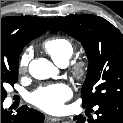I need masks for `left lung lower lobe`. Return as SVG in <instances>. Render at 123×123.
I'll list each match as a JSON object with an SVG mask.
<instances>
[{
    "label": "left lung lower lobe",
    "mask_w": 123,
    "mask_h": 123,
    "mask_svg": "<svg viewBox=\"0 0 123 123\" xmlns=\"http://www.w3.org/2000/svg\"><path fill=\"white\" fill-rule=\"evenodd\" d=\"M96 119L75 116L76 123H123V98H107L96 105ZM90 108V107H88Z\"/></svg>",
    "instance_id": "obj_1"
}]
</instances>
